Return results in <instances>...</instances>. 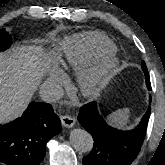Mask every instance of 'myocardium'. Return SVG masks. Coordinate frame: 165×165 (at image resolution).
<instances>
[{"mask_svg":"<svg viewBox=\"0 0 165 165\" xmlns=\"http://www.w3.org/2000/svg\"><path fill=\"white\" fill-rule=\"evenodd\" d=\"M119 61L114 53L99 57L96 65L82 71L78 77L77 90L84 98H94L106 78L117 68Z\"/></svg>","mask_w":165,"mask_h":165,"instance_id":"myocardium-1","label":"myocardium"}]
</instances>
